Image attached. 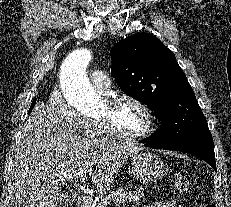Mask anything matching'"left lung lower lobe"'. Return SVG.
Masks as SVG:
<instances>
[{"instance_id": "1", "label": "left lung lower lobe", "mask_w": 231, "mask_h": 207, "mask_svg": "<svg viewBox=\"0 0 231 207\" xmlns=\"http://www.w3.org/2000/svg\"><path fill=\"white\" fill-rule=\"evenodd\" d=\"M145 145L153 148H171L181 152L193 154L210 164L216 171V162L214 154V145L209 143H193L175 147H160L152 141L144 140Z\"/></svg>"}]
</instances>
